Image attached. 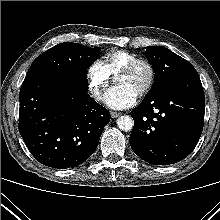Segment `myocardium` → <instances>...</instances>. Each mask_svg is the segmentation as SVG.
Instances as JSON below:
<instances>
[{"instance_id": "obj_1", "label": "myocardium", "mask_w": 220, "mask_h": 220, "mask_svg": "<svg viewBox=\"0 0 220 220\" xmlns=\"http://www.w3.org/2000/svg\"><path fill=\"white\" fill-rule=\"evenodd\" d=\"M140 65H144L148 69V79L145 85L141 88L138 95L140 97L145 96L152 89L155 79H156V70L151 61L145 58H136L126 64L119 72L120 73H131L136 70Z\"/></svg>"}]
</instances>
